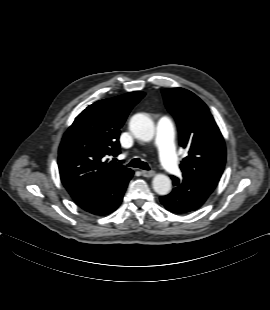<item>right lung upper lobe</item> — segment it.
Segmentation results:
<instances>
[{
	"label": "right lung upper lobe",
	"instance_id": "obj_1",
	"mask_svg": "<svg viewBox=\"0 0 270 310\" xmlns=\"http://www.w3.org/2000/svg\"><path fill=\"white\" fill-rule=\"evenodd\" d=\"M144 95L135 91L100 100L75 118L63 136L58 156L60 178L69 193L96 187L128 169L105 158L119 154L120 129Z\"/></svg>",
	"mask_w": 270,
	"mask_h": 310
}]
</instances>
